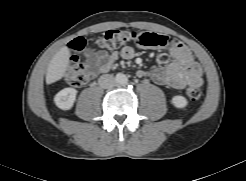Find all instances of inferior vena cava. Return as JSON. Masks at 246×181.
<instances>
[{
    "label": "inferior vena cava",
    "instance_id": "602c4592",
    "mask_svg": "<svg viewBox=\"0 0 246 181\" xmlns=\"http://www.w3.org/2000/svg\"><path fill=\"white\" fill-rule=\"evenodd\" d=\"M98 83L103 88H112L116 85L117 82L113 75L104 74L100 76Z\"/></svg>",
    "mask_w": 246,
    "mask_h": 181
}]
</instances>
